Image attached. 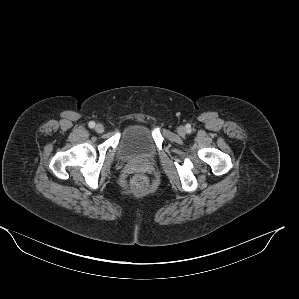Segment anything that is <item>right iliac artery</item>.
<instances>
[{"label":"right iliac artery","instance_id":"1","mask_svg":"<svg viewBox=\"0 0 299 299\" xmlns=\"http://www.w3.org/2000/svg\"><path fill=\"white\" fill-rule=\"evenodd\" d=\"M88 125H89L90 128H94L95 127V122L91 121V122H89Z\"/></svg>","mask_w":299,"mask_h":299}]
</instances>
